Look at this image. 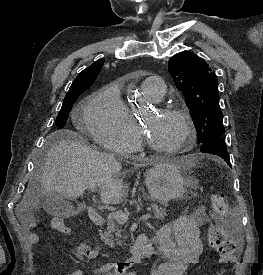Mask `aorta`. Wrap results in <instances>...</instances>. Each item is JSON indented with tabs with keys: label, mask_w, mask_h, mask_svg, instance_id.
<instances>
[{
	"label": "aorta",
	"mask_w": 263,
	"mask_h": 275,
	"mask_svg": "<svg viewBox=\"0 0 263 275\" xmlns=\"http://www.w3.org/2000/svg\"><path fill=\"white\" fill-rule=\"evenodd\" d=\"M132 92H133L132 90H129V94H130V95H132Z\"/></svg>",
	"instance_id": "obj_1"
}]
</instances>
